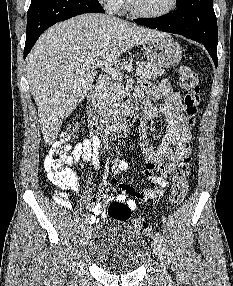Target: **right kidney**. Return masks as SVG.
<instances>
[{
    "label": "right kidney",
    "mask_w": 233,
    "mask_h": 286,
    "mask_svg": "<svg viewBox=\"0 0 233 286\" xmlns=\"http://www.w3.org/2000/svg\"><path fill=\"white\" fill-rule=\"evenodd\" d=\"M79 126H78V123L75 124V127L73 128V131H76L78 130Z\"/></svg>",
    "instance_id": "right-kidney-1"
}]
</instances>
